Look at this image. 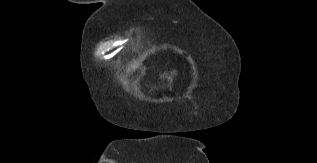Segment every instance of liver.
I'll return each mask as SVG.
<instances>
[{
  "label": "liver",
  "instance_id": "obj_1",
  "mask_svg": "<svg viewBox=\"0 0 317 163\" xmlns=\"http://www.w3.org/2000/svg\"><path fill=\"white\" fill-rule=\"evenodd\" d=\"M168 79H169V80H172V78H171V77H169Z\"/></svg>",
  "mask_w": 317,
  "mask_h": 163
}]
</instances>
